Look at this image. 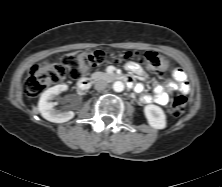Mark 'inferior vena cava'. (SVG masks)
Instances as JSON below:
<instances>
[{
    "instance_id": "obj_1",
    "label": "inferior vena cava",
    "mask_w": 222,
    "mask_h": 187,
    "mask_svg": "<svg viewBox=\"0 0 222 187\" xmlns=\"http://www.w3.org/2000/svg\"><path fill=\"white\" fill-rule=\"evenodd\" d=\"M108 86V83L104 80H98L96 81L95 83V89L98 90V91H101V90H104L105 88H107Z\"/></svg>"
}]
</instances>
